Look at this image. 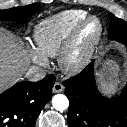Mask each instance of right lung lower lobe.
<instances>
[{"mask_svg": "<svg viewBox=\"0 0 127 127\" xmlns=\"http://www.w3.org/2000/svg\"><path fill=\"white\" fill-rule=\"evenodd\" d=\"M55 76L39 82H19L0 94V127H35V122L50 100Z\"/></svg>", "mask_w": 127, "mask_h": 127, "instance_id": "right-lung-lower-lobe-1", "label": "right lung lower lobe"}]
</instances>
